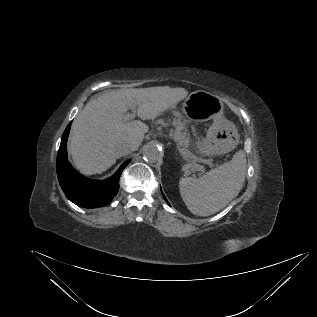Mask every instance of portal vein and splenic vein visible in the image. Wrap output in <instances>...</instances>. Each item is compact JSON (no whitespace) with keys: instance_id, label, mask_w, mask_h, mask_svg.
I'll list each match as a JSON object with an SVG mask.
<instances>
[{"instance_id":"obj_1","label":"portal vein and splenic vein","mask_w":317,"mask_h":317,"mask_svg":"<svg viewBox=\"0 0 317 317\" xmlns=\"http://www.w3.org/2000/svg\"><path fill=\"white\" fill-rule=\"evenodd\" d=\"M133 112L135 113V110H133ZM134 117V114H126L125 115V118L127 119V120H130V119H132Z\"/></svg>"}]
</instances>
